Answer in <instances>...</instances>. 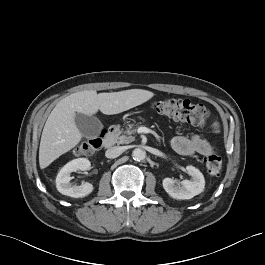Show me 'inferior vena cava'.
<instances>
[{"instance_id": "inferior-vena-cava-1", "label": "inferior vena cava", "mask_w": 265, "mask_h": 265, "mask_svg": "<svg viewBox=\"0 0 265 265\" xmlns=\"http://www.w3.org/2000/svg\"><path fill=\"white\" fill-rule=\"evenodd\" d=\"M122 152H123V149L121 147H112V148L107 149V151L105 152V156L107 158L113 159L121 155Z\"/></svg>"}]
</instances>
